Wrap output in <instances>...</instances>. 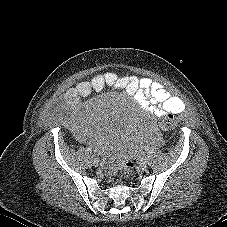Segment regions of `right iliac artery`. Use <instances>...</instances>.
<instances>
[{"label": "right iliac artery", "instance_id": "82829eb1", "mask_svg": "<svg viewBox=\"0 0 227 227\" xmlns=\"http://www.w3.org/2000/svg\"><path fill=\"white\" fill-rule=\"evenodd\" d=\"M87 151L90 152V153L92 152L91 148H87ZM93 157H94V156H92V158H93Z\"/></svg>", "mask_w": 227, "mask_h": 227}]
</instances>
